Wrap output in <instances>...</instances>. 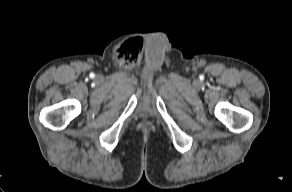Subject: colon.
Wrapping results in <instances>:
<instances>
[{"label":"colon","instance_id":"colon-1","mask_svg":"<svg viewBox=\"0 0 292 192\" xmlns=\"http://www.w3.org/2000/svg\"><path fill=\"white\" fill-rule=\"evenodd\" d=\"M132 45H136L137 47V52L135 54V57L133 59L130 60V63L131 64H134L138 61V57H139V53H140V49H141V45H142V41L140 39H135L133 40V43H127V44H124L122 46V50H123V53H124V49L126 47H131Z\"/></svg>","mask_w":292,"mask_h":192}]
</instances>
